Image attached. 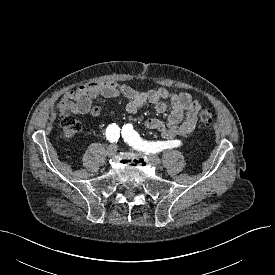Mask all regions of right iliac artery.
Segmentation results:
<instances>
[{
    "label": "right iliac artery",
    "instance_id": "1",
    "mask_svg": "<svg viewBox=\"0 0 275 275\" xmlns=\"http://www.w3.org/2000/svg\"><path fill=\"white\" fill-rule=\"evenodd\" d=\"M120 128L115 123L110 124L106 129V138L109 142H116L120 136Z\"/></svg>",
    "mask_w": 275,
    "mask_h": 275
}]
</instances>
